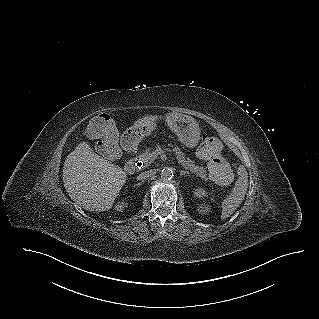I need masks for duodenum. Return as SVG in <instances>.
<instances>
[{
    "mask_svg": "<svg viewBox=\"0 0 319 319\" xmlns=\"http://www.w3.org/2000/svg\"><path fill=\"white\" fill-rule=\"evenodd\" d=\"M122 146L128 152H135L137 149L136 139L133 136H125L122 139ZM136 168H137L136 162L133 160H128L123 166V171L126 174H133Z\"/></svg>",
    "mask_w": 319,
    "mask_h": 319,
    "instance_id": "duodenum-1",
    "label": "duodenum"
}]
</instances>
